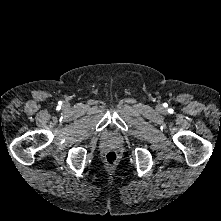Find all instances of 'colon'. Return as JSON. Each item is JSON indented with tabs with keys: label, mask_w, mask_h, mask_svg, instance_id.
Instances as JSON below:
<instances>
[{
	"label": "colon",
	"mask_w": 221,
	"mask_h": 221,
	"mask_svg": "<svg viewBox=\"0 0 221 221\" xmlns=\"http://www.w3.org/2000/svg\"><path fill=\"white\" fill-rule=\"evenodd\" d=\"M117 163L116 153L109 151L105 154V164L109 168H113Z\"/></svg>",
	"instance_id": "colon-1"
}]
</instances>
